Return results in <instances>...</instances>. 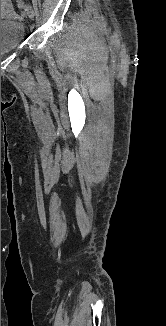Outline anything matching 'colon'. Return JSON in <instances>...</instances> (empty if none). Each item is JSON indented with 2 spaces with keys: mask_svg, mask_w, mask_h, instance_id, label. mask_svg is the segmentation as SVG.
I'll list each match as a JSON object with an SVG mask.
<instances>
[{
  "mask_svg": "<svg viewBox=\"0 0 166 326\" xmlns=\"http://www.w3.org/2000/svg\"><path fill=\"white\" fill-rule=\"evenodd\" d=\"M17 6L18 8L23 9L24 3L21 0H17Z\"/></svg>",
  "mask_w": 166,
  "mask_h": 326,
  "instance_id": "colon-1",
  "label": "colon"
}]
</instances>
